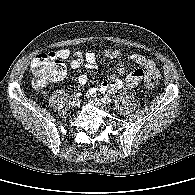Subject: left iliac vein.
Segmentation results:
<instances>
[{
  "label": "left iliac vein",
  "mask_w": 195,
  "mask_h": 195,
  "mask_svg": "<svg viewBox=\"0 0 195 195\" xmlns=\"http://www.w3.org/2000/svg\"><path fill=\"white\" fill-rule=\"evenodd\" d=\"M91 103L101 107V108H107L108 103L104 100V98L101 97H92L90 100Z\"/></svg>",
  "instance_id": "1"
}]
</instances>
